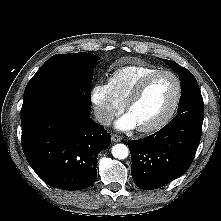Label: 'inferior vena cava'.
<instances>
[{
    "label": "inferior vena cava",
    "mask_w": 221,
    "mask_h": 221,
    "mask_svg": "<svg viewBox=\"0 0 221 221\" xmlns=\"http://www.w3.org/2000/svg\"><path fill=\"white\" fill-rule=\"evenodd\" d=\"M94 116L96 120L102 125H110L113 120V117L109 113L100 108L94 110Z\"/></svg>",
    "instance_id": "1"
}]
</instances>
